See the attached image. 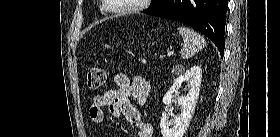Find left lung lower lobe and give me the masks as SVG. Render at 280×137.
<instances>
[{
    "label": "left lung lower lobe",
    "mask_w": 280,
    "mask_h": 137,
    "mask_svg": "<svg viewBox=\"0 0 280 137\" xmlns=\"http://www.w3.org/2000/svg\"><path fill=\"white\" fill-rule=\"evenodd\" d=\"M228 0H163L145 13L185 23L206 35L223 57Z\"/></svg>",
    "instance_id": "0a47b994"
}]
</instances>
